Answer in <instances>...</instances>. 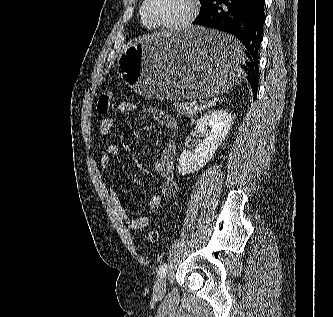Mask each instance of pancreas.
I'll return each instance as SVG.
<instances>
[{
	"instance_id": "cf45deb5",
	"label": "pancreas",
	"mask_w": 333,
	"mask_h": 317,
	"mask_svg": "<svg viewBox=\"0 0 333 317\" xmlns=\"http://www.w3.org/2000/svg\"><path fill=\"white\" fill-rule=\"evenodd\" d=\"M212 106V103L203 102L201 105H197L193 102H183V103H174L175 110L183 115H195L198 114L209 107Z\"/></svg>"
}]
</instances>
